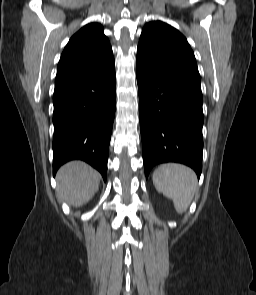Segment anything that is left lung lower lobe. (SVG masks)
I'll list each match as a JSON object with an SVG mask.
<instances>
[{
  "label": "left lung lower lobe",
  "mask_w": 256,
  "mask_h": 295,
  "mask_svg": "<svg viewBox=\"0 0 256 295\" xmlns=\"http://www.w3.org/2000/svg\"><path fill=\"white\" fill-rule=\"evenodd\" d=\"M146 178L153 166L178 162L202 172V95L164 82L137 65Z\"/></svg>",
  "instance_id": "0a47b994"
}]
</instances>
